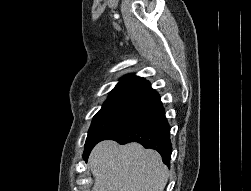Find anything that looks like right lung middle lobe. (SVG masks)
I'll use <instances>...</instances> for the list:
<instances>
[{"instance_id": "obj_1", "label": "right lung middle lobe", "mask_w": 251, "mask_h": 191, "mask_svg": "<svg viewBox=\"0 0 251 191\" xmlns=\"http://www.w3.org/2000/svg\"><path fill=\"white\" fill-rule=\"evenodd\" d=\"M143 110L125 106H103L93 117L85 142L84 160L93 147L123 128Z\"/></svg>"}]
</instances>
